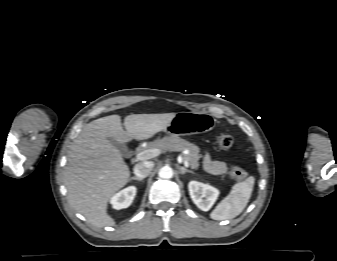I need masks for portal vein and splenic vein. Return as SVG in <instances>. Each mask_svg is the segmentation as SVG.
<instances>
[{
  "instance_id": "portal-vein-and-splenic-vein-1",
  "label": "portal vein and splenic vein",
  "mask_w": 337,
  "mask_h": 261,
  "mask_svg": "<svg viewBox=\"0 0 337 261\" xmlns=\"http://www.w3.org/2000/svg\"><path fill=\"white\" fill-rule=\"evenodd\" d=\"M160 153H161V150L158 148L147 149V150L139 152L136 155V160L143 161V160L151 159V158L158 156ZM183 163L186 167L189 166L188 161L184 160Z\"/></svg>"
}]
</instances>
